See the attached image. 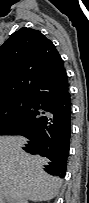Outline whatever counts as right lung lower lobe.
I'll return each mask as SVG.
<instances>
[{
	"instance_id": "98d812e1",
	"label": "right lung lower lobe",
	"mask_w": 89,
	"mask_h": 203,
	"mask_svg": "<svg viewBox=\"0 0 89 203\" xmlns=\"http://www.w3.org/2000/svg\"><path fill=\"white\" fill-rule=\"evenodd\" d=\"M27 97L28 111L8 134L27 138L22 149L44 157L43 171L62 178L71 135V97L64 65L44 75Z\"/></svg>"
}]
</instances>
